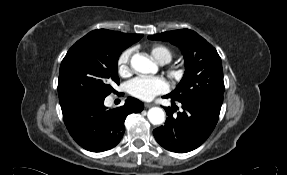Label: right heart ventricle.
Instances as JSON below:
<instances>
[{
	"instance_id": "obj_1",
	"label": "right heart ventricle",
	"mask_w": 287,
	"mask_h": 175,
	"mask_svg": "<svg viewBox=\"0 0 287 175\" xmlns=\"http://www.w3.org/2000/svg\"><path fill=\"white\" fill-rule=\"evenodd\" d=\"M152 56L161 63H167L171 61L173 57V51L166 45L154 44L150 47Z\"/></svg>"
}]
</instances>
